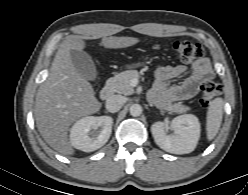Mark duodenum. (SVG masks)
Segmentation results:
<instances>
[{"instance_id": "1", "label": "duodenum", "mask_w": 248, "mask_h": 195, "mask_svg": "<svg viewBox=\"0 0 248 195\" xmlns=\"http://www.w3.org/2000/svg\"><path fill=\"white\" fill-rule=\"evenodd\" d=\"M113 94H114V82L113 79L110 78L107 80V82L101 89L100 97L103 100H109L110 98H112Z\"/></svg>"}]
</instances>
